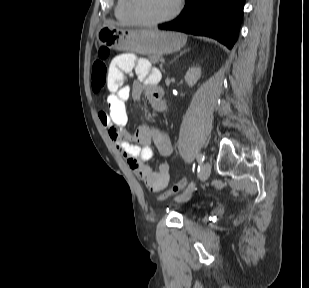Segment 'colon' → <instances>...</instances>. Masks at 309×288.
<instances>
[{"label":"colon","mask_w":309,"mask_h":288,"mask_svg":"<svg viewBox=\"0 0 309 288\" xmlns=\"http://www.w3.org/2000/svg\"><path fill=\"white\" fill-rule=\"evenodd\" d=\"M99 59L95 61L91 69V81L92 88L95 92H100L105 89L108 82L109 69L107 66V59L109 58L111 51L107 47H101L99 49ZM188 184L186 178H182L177 183L172 185L169 189L162 192L159 196V200L168 199L181 190H183Z\"/></svg>","instance_id":"5ec220e1"}]
</instances>
